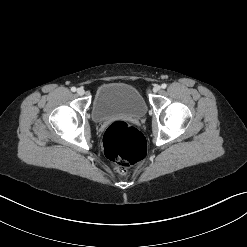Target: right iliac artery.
I'll return each instance as SVG.
<instances>
[{
	"label": "right iliac artery",
	"mask_w": 247,
	"mask_h": 247,
	"mask_svg": "<svg viewBox=\"0 0 247 247\" xmlns=\"http://www.w3.org/2000/svg\"><path fill=\"white\" fill-rule=\"evenodd\" d=\"M71 91H72V92H75V91H76V88H75V87H72V88H71Z\"/></svg>",
	"instance_id": "right-iliac-artery-1"
}]
</instances>
